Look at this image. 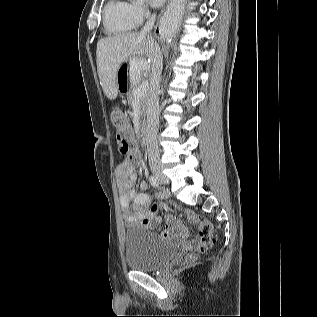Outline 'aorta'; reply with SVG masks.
I'll return each instance as SVG.
<instances>
[{
    "instance_id": "762f6f07",
    "label": "aorta",
    "mask_w": 317,
    "mask_h": 317,
    "mask_svg": "<svg viewBox=\"0 0 317 317\" xmlns=\"http://www.w3.org/2000/svg\"><path fill=\"white\" fill-rule=\"evenodd\" d=\"M134 2H143L144 0H133ZM178 17L168 12L162 19L160 31L165 35H171L178 27Z\"/></svg>"
}]
</instances>
